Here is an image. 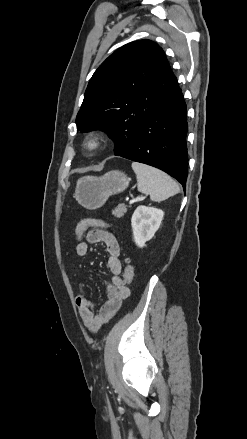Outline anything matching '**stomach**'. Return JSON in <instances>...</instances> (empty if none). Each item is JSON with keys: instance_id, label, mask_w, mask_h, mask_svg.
Here are the masks:
<instances>
[{"instance_id": "1", "label": "stomach", "mask_w": 247, "mask_h": 439, "mask_svg": "<svg viewBox=\"0 0 247 439\" xmlns=\"http://www.w3.org/2000/svg\"><path fill=\"white\" fill-rule=\"evenodd\" d=\"M129 182V177L119 170L109 171L101 177L84 176L77 181L74 198L87 209H98L110 196L123 192Z\"/></svg>"}]
</instances>
